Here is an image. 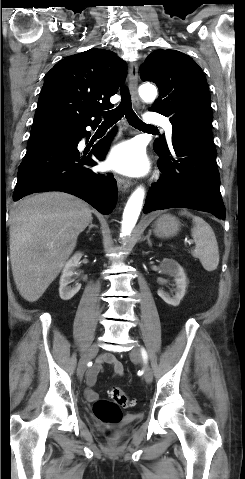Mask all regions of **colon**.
<instances>
[{
    "instance_id": "obj_1",
    "label": "colon",
    "mask_w": 245,
    "mask_h": 479,
    "mask_svg": "<svg viewBox=\"0 0 245 479\" xmlns=\"http://www.w3.org/2000/svg\"><path fill=\"white\" fill-rule=\"evenodd\" d=\"M111 399H99L95 402L93 412L95 417L105 425H115L122 419L121 408L133 406L135 400L131 399L122 389L113 388L110 391ZM108 435H113V430H108Z\"/></svg>"
}]
</instances>
